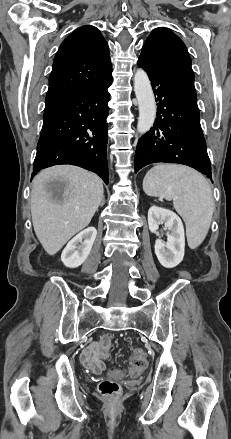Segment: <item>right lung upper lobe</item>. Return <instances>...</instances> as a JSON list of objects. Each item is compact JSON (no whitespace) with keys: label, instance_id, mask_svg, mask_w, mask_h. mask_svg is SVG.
<instances>
[{"label":"right lung upper lobe","instance_id":"cb5924a9","mask_svg":"<svg viewBox=\"0 0 231 439\" xmlns=\"http://www.w3.org/2000/svg\"><path fill=\"white\" fill-rule=\"evenodd\" d=\"M111 72L108 44L101 32L90 25L76 29L54 58L45 110L107 82Z\"/></svg>","mask_w":231,"mask_h":439}]
</instances>
